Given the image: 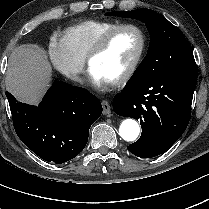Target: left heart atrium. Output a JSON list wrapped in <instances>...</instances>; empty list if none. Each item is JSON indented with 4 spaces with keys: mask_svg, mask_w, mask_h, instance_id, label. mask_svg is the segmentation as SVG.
Returning a JSON list of instances; mask_svg holds the SVG:
<instances>
[{
    "mask_svg": "<svg viewBox=\"0 0 209 209\" xmlns=\"http://www.w3.org/2000/svg\"><path fill=\"white\" fill-rule=\"evenodd\" d=\"M88 77L90 79V81L95 84L96 86H100L103 83L107 82L102 75L96 71L94 68L90 67L89 71H88Z\"/></svg>",
    "mask_w": 209,
    "mask_h": 209,
    "instance_id": "obj_1",
    "label": "left heart atrium"
}]
</instances>
